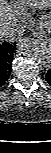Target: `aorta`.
Masks as SVG:
<instances>
[{
	"mask_svg": "<svg viewBox=\"0 0 51 153\" xmlns=\"http://www.w3.org/2000/svg\"><path fill=\"white\" fill-rule=\"evenodd\" d=\"M18 50L26 54L43 66H48L50 63V53L46 46L32 38H24L18 43Z\"/></svg>",
	"mask_w": 51,
	"mask_h": 153,
	"instance_id": "1",
	"label": "aorta"
}]
</instances>
